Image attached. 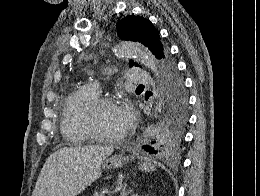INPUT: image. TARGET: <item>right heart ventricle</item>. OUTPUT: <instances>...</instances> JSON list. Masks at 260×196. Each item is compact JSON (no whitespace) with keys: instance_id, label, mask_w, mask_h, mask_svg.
Returning a JSON list of instances; mask_svg holds the SVG:
<instances>
[{"instance_id":"1","label":"right heart ventricle","mask_w":260,"mask_h":196,"mask_svg":"<svg viewBox=\"0 0 260 196\" xmlns=\"http://www.w3.org/2000/svg\"><path fill=\"white\" fill-rule=\"evenodd\" d=\"M98 97L99 91L91 85H86L78 88L68 101L61 122V133L69 145L81 144L92 138L81 127L80 117Z\"/></svg>"}]
</instances>
